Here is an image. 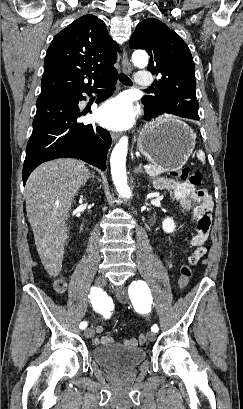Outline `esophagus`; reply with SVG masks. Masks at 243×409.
I'll use <instances>...</instances> for the list:
<instances>
[{
  "label": "esophagus",
  "instance_id": "1",
  "mask_svg": "<svg viewBox=\"0 0 243 409\" xmlns=\"http://www.w3.org/2000/svg\"><path fill=\"white\" fill-rule=\"evenodd\" d=\"M122 70L124 73H130L132 70L131 64L129 62V59H128V56L125 50L123 52V58H122ZM111 137L113 140H117L120 137V134L117 132H111Z\"/></svg>",
  "mask_w": 243,
  "mask_h": 409
}]
</instances>
